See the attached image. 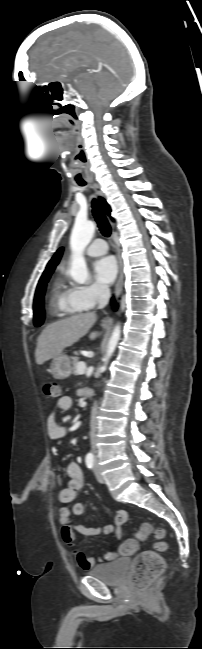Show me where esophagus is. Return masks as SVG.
I'll return each instance as SVG.
<instances>
[{"mask_svg": "<svg viewBox=\"0 0 202 649\" xmlns=\"http://www.w3.org/2000/svg\"><path fill=\"white\" fill-rule=\"evenodd\" d=\"M92 187H93V189H94V191L96 192L97 195L103 196L102 189L98 184L93 183ZM118 263H119V277H118L117 284H116V287H115V295L120 294V292L122 290V285H123L122 260H121L120 255H118Z\"/></svg>", "mask_w": 202, "mask_h": 649, "instance_id": "1", "label": "esophagus"}]
</instances>
